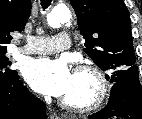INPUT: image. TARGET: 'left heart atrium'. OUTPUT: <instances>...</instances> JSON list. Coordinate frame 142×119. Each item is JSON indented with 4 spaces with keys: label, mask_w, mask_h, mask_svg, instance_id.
I'll list each match as a JSON object with an SVG mask.
<instances>
[{
    "label": "left heart atrium",
    "mask_w": 142,
    "mask_h": 119,
    "mask_svg": "<svg viewBox=\"0 0 142 119\" xmlns=\"http://www.w3.org/2000/svg\"><path fill=\"white\" fill-rule=\"evenodd\" d=\"M24 77L37 92L54 97L65 96L72 84L73 73L63 60L39 58L30 60Z\"/></svg>",
    "instance_id": "39dd6f15"
}]
</instances>
